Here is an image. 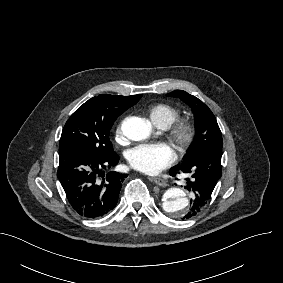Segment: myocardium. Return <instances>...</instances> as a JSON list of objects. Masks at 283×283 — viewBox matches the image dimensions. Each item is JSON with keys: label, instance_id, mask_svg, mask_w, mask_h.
Instances as JSON below:
<instances>
[{"label": "myocardium", "instance_id": "obj_1", "mask_svg": "<svg viewBox=\"0 0 283 283\" xmlns=\"http://www.w3.org/2000/svg\"><path fill=\"white\" fill-rule=\"evenodd\" d=\"M195 133V125L188 120L178 121L169 129V138L178 145L181 156L192 145Z\"/></svg>", "mask_w": 283, "mask_h": 283}]
</instances>
